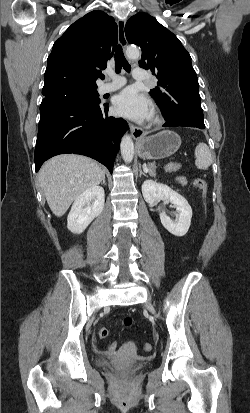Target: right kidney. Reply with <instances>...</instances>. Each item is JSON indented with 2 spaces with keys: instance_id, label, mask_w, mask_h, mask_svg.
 Wrapping results in <instances>:
<instances>
[{
  "instance_id": "1",
  "label": "right kidney",
  "mask_w": 250,
  "mask_h": 413,
  "mask_svg": "<svg viewBox=\"0 0 250 413\" xmlns=\"http://www.w3.org/2000/svg\"><path fill=\"white\" fill-rule=\"evenodd\" d=\"M104 189L91 187L81 193L74 201L67 217V228L75 234L82 233L98 217L104 208Z\"/></svg>"
}]
</instances>
